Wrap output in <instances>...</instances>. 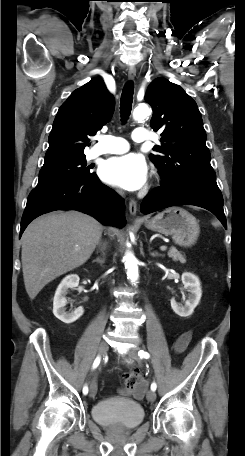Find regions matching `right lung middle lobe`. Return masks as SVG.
Instances as JSON below:
<instances>
[{"label":"right lung middle lobe","mask_w":245,"mask_h":456,"mask_svg":"<svg viewBox=\"0 0 245 456\" xmlns=\"http://www.w3.org/2000/svg\"><path fill=\"white\" fill-rule=\"evenodd\" d=\"M86 157L65 161L55 165L42 167L36 188L48 187L62 183L84 181L96 176L87 167Z\"/></svg>","instance_id":"dd1d6c3e"}]
</instances>
